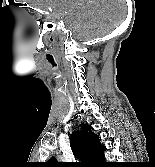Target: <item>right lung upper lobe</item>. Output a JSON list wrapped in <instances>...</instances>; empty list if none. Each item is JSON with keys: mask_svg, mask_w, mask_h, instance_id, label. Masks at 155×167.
<instances>
[{"mask_svg": "<svg viewBox=\"0 0 155 167\" xmlns=\"http://www.w3.org/2000/svg\"><path fill=\"white\" fill-rule=\"evenodd\" d=\"M70 144L75 156L86 162H79L77 167H103L105 162L104 146L100 144L99 137L92 132L88 124L82 125L81 131L72 133ZM62 164L51 158L44 167H60Z\"/></svg>", "mask_w": 155, "mask_h": 167, "instance_id": "obj_1", "label": "right lung upper lobe"}]
</instances>
